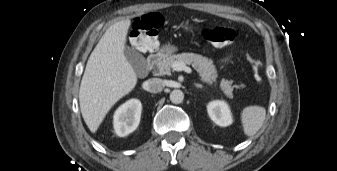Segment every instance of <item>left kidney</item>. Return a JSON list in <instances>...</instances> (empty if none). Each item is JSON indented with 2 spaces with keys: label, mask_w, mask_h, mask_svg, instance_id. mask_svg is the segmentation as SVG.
Returning <instances> with one entry per match:
<instances>
[{
  "label": "left kidney",
  "mask_w": 337,
  "mask_h": 171,
  "mask_svg": "<svg viewBox=\"0 0 337 171\" xmlns=\"http://www.w3.org/2000/svg\"><path fill=\"white\" fill-rule=\"evenodd\" d=\"M208 114L211 120L219 126L226 127L232 123L230 109L226 102L216 100L207 106Z\"/></svg>",
  "instance_id": "obj_1"
}]
</instances>
